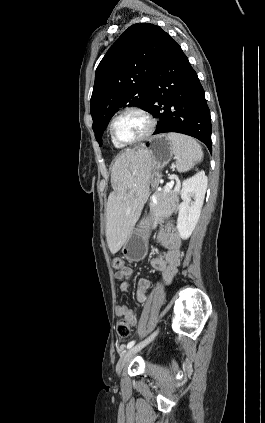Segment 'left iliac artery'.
Segmentation results:
<instances>
[{
	"instance_id": "44dca946",
	"label": "left iliac artery",
	"mask_w": 265,
	"mask_h": 423,
	"mask_svg": "<svg viewBox=\"0 0 265 423\" xmlns=\"http://www.w3.org/2000/svg\"><path fill=\"white\" fill-rule=\"evenodd\" d=\"M135 340H132V341H130L128 344H127V349H129V348H131L134 344H135Z\"/></svg>"
}]
</instances>
